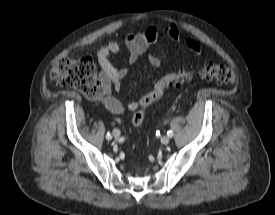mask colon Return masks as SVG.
<instances>
[{
	"mask_svg": "<svg viewBox=\"0 0 275 215\" xmlns=\"http://www.w3.org/2000/svg\"><path fill=\"white\" fill-rule=\"evenodd\" d=\"M52 76L62 86L74 88L90 100L100 99L103 95V88L96 76L95 65L88 55L76 59H58L53 65ZM194 79L215 80L220 84L233 85L235 74L230 68L214 63H207L195 69L181 68L177 72L169 73L157 80L153 90L140 99L132 117L133 125L136 127L142 125L145 109L162 98L166 90Z\"/></svg>",
	"mask_w": 275,
	"mask_h": 215,
	"instance_id": "1",
	"label": "colon"
}]
</instances>
